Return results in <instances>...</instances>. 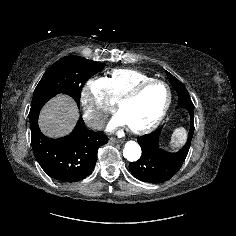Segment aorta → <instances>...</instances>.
Wrapping results in <instances>:
<instances>
[{
    "label": "aorta",
    "instance_id": "obj_1",
    "mask_svg": "<svg viewBox=\"0 0 236 236\" xmlns=\"http://www.w3.org/2000/svg\"><path fill=\"white\" fill-rule=\"evenodd\" d=\"M123 156L130 162L137 161L141 156V147L135 141H127L123 149Z\"/></svg>",
    "mask_w": 236,
    "mask_h": 236
}]
</instances>
